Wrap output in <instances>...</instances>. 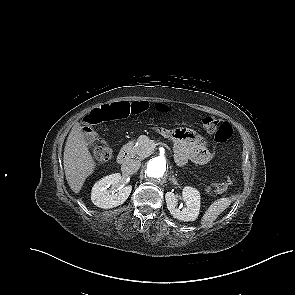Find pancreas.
I'll list each match as a JSON object with an SVG mask.
<instances>
[{
    "label": "pancreas",
    "instance_id": "cf45deb5",
    "mask_svg": "<svg viewBox=\"0 0 295 295\" xmlns=\"http://www.w3.org/2000/svg\"><path fill=\"white\" fill-rule=\"evenodd\" d=\"M154 144V140H151L146 135H141L137 140V145L130 147V154L132 157L143 159L152 153V145Z\"/></svg>",
    "mask_w": 295,
    "mask_h": 295
}]
</instances>
